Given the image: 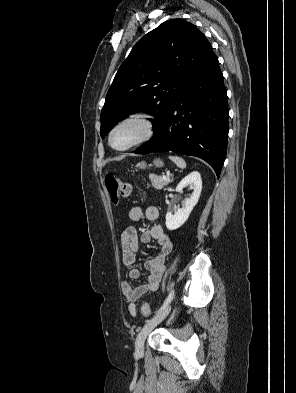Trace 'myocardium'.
I'll return each mask as SVG.
<instances>
[{"label":"myocardium","instance_id":"1","mask_svg":"<svg viewBox=\"0 0 296 393\" xmlns=\"http://www.w3.org/2000/svg\"><path fill=\"white\" fill-rule=\"evenodd\" d=\"M129 122H136V123H139L143 126V132H142L141 136L123 148H115L111 142L112 134L114 133V131L117 128H119L120 126H122L126 123H129ZM155 131H156V125H155V121H154V118L152 115H150L148 113H144V112H135V113H131V114L121 118L119 121H117L111 127V129L108 133L107 140H108L109 146L113 150L118 151V152H122V151L130 150L138 145H141V144L149 141L154 136Z\"/></svg>","mask_w":296,"mask_h":393}]
</instances>
